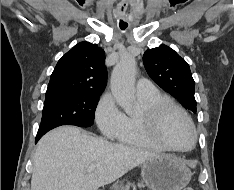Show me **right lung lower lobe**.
Here are the masks:
<instances>
[{"instance_id":"obj_1","label":"right lung lower lobe","mask_w":234,"mask_h":190,"mask_svg":"<svg viewBox=\"0 0 234 190\" xmlns=\"http://www.w3.org/2000/svg\"><path fill=\"white\" fill-rule=\"evenodd\" d=\"M41 137H42V135L37 134V136H36V142H37Z\"/></svg>"}]
</instances>
